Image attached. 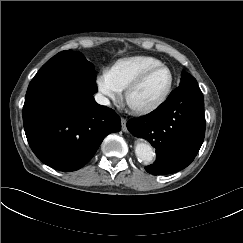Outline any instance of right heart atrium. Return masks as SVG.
<instances>
[{"label": "right heart atrium", "instance_id": "d8ad5b80", "mask_svg": "<svg viewBox=\"0 0 243 243\" xmlns=\"http://www.w3.org/2000/svg\"><path fill=\"white\" fill-rule=\"evenodd\" d=\"M97 87L106 99L117 101L121 96V91L114 85L109 70H104L98 76Z\"/></svg>", "mask_w": 243, "mask_h": 243}]
</instances>
